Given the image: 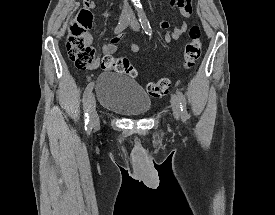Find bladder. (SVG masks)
<instances>
[{"label": "bladder", "instance_id": "31cf9c89", "mask_svg": "<svg viewBox=\"0 0 275 215\" xmlns=\"http://www.w3.org/2000/svg\"><path fill=\"white\" fill-rule=\"evenodd\" d=\"M99 104L127 116H143L151 108V101L136 81L122 73L102 72L96 80Z\"/></svg>", "mask_w": 275, "mask_h": 215}]
</instances>
